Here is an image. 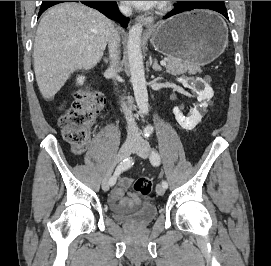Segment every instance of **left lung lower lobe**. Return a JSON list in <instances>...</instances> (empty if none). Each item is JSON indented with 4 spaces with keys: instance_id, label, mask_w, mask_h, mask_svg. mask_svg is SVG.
<instances>
[{
    "instance_id": "left-lung-lower-lobe-1",
    "label": "left lung lower lobe",
    "mask_w": 271,
    "mask_h": 266,
    "mask_svg": "<svg viewBox=\"0 0 271 266\" xmlns=\"http://www.w3.org/2000/svg\"><path fill=\"white\" fill-rule=\"evenodd\" d=\"M193 9H203V8H201L199 6H193V5L185 4V3H177V4H175V8L164 16V19L169 18V17H171V16H173L175 14L185 12V11H190V10H193ZM219 13H221L224 17H226L228 19L227 11H222V12H219Z\"/></svg>"
}]
</instances>
